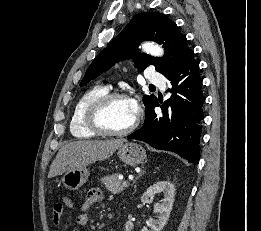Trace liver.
Listing matches in <instances>:
<instances>
[{"instance_id":"1","label":"liver","mask_w":261,"mask_h":231,"mask_svg":"<svg viewBox=\"0 0 261 231\" xmlns=\"http://www.w3.org/2000/svg\"><path fill=\"white\" fill-rule=\"evenodd\" d=\"M125 139L83 140L65 144L53 160L48 178H53L69 170L86 167L97 161L110 157Z\"/></svg>"}]
</instances>
